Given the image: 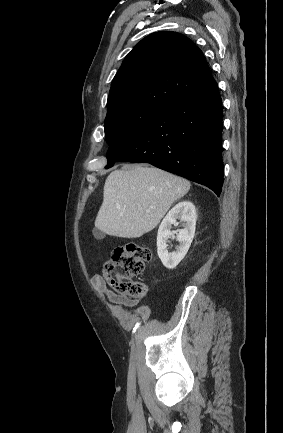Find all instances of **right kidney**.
Masks as SVG:
<instances>
[{
	"instance_id": "ca27d5eb",
	"label": "right kidney",
	"mask_w": 283,
	"mask_h": 433,
	"mask_svg": "<svg viewBox=\"0 0 283 433\" xmlns=\"http://www.w3.org/2000/svg\"><path fill=\"white\" fill-rule=\"evenodd\" d=\"M177 219L184 222V228L180 229L177 234L180 245L170 254L167 250V240L174 235L171 228ZM196 219L194 204L190 201H181L167 213L161 222L157 235V253L166 268L174 269L185 257L194 238Z\"/></svg>"
}]
</instances>
